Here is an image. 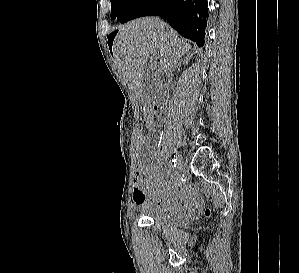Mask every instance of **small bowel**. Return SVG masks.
I'll return each mask as SVG.
<instances>
[{
	"instance_id": "c3829d8e",
	"label": "small bowel",
	"mask_w": 299,
	"mask_h": 273,
	"mask_svg": "<svg viewBox=\"0 0 299 273\" xmlns=\"http://www.w3.org/2000/svg\"><path fill=\"white\" fill-rule=\"evenodd\" d=\"M146 128L149 132L156 129V123L151 115H148L146 119ZM146 136L151 138L149 134ZM139 152L148 158L156 159V151L152 146L144 149L139 142ZM134 185L132 203L135 206L144 204L148 197L150 209L178 211L184 215H188L196 209L195 202L176 180L164 179L159 160L147 166L139 163L134 177Z\"/></svg>"
}]
</instances>
